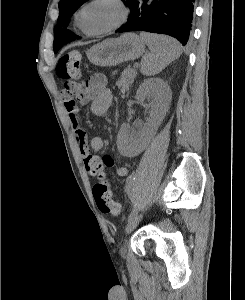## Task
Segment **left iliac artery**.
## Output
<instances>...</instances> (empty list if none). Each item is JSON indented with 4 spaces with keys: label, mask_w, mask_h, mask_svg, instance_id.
<instances>
[{
    "label": "left iliac artery",
    "mask_w": 245,
    "mask_h": 300,
    "mask_svg": "<svg viewBox=\"0 0 245 300\" xmlns=\"http://www.w3.org/2000/svg\"><path fill=\"white\" fill-rule=\"evenodd\" d=\"M135 177L134 176H130L127 184H126V195H127V199L132 203L135 204L137 202L136 196L134 195L133 192V183H134ZM137 215V209L134 208L132 210V212L130 213V215L128 216V221H130L131 219H133L135 216Z\"/></svg>",
    "instance_id": "left-iliac-artery-1"
}]
</instances>
